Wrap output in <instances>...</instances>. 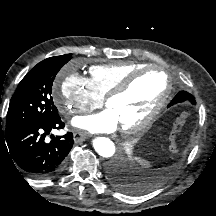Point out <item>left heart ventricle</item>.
I'll use <instances>...</instances> for the list:
<instances>
[{
    "mask_svg": "<svg viewBox=\"0 0 216 216\" xmlns=\"http://www.w3.org/2000/svg\"><path fill=\"white\" fill-rule=\"evenodd\" d=\"M166 89V79L158 70L149 71L134 81L123 95L109 102L120 127L141 121L156 105Z\"/></svg>",
    "mask_w": 216,
    "mask_h": 216,
    "instance_id": "1",
    "label": "left heart ventricle"
}]
</instances>
